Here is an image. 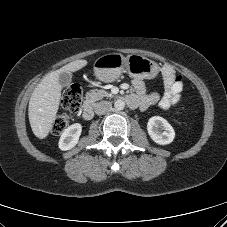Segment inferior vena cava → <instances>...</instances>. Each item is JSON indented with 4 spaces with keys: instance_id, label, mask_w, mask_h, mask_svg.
Instances as JSON below:
<instances>
[{
    "instance_id": "602c4592",
    "label": "inferior vena cava",
    "mask_w": 227,
    "mask_h": 227,
    "mask_svg": "<svg viewBox=\"0 0 227 227\" xmlns=\"http://www.w3.org/2000/svg\"><path fill=\"white\" fill-rule=\"evenodd\" d=\"M94 109L97 115H104L112 110V104L109 101H101L95 104Z\"/></svg>"
}]
</instances>
